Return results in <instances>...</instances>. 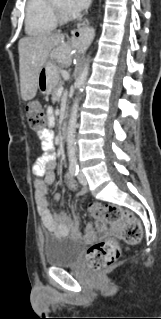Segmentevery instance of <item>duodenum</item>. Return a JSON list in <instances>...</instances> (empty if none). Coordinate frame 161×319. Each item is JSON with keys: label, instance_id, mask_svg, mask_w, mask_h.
<instances>
[{"label": "duodenum", "instance_id": "obj_1", "mask_svg": "<svg viewBox=\"0 0 161 319\" xmlns=\"http://www.w3.org/2000/svg\"><path fill=\"white\" fill-rule=\"evenodd\" d=\"M67 134V126L63 125L60 129V135L61 137H65Z\"/></svg>", "mask_w": 161, "mask_h": 319}]
</instances>
